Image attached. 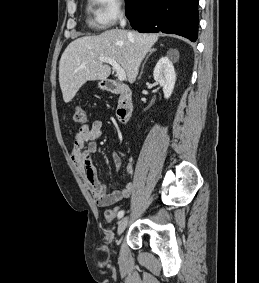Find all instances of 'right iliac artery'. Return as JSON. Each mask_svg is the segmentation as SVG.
Returning a JSON list of instances; mask_svg holds the SVG:
<instances>
[{
  "label": "right iliac artery",
  "mask_w": 259,
  "mask_h": 283,
  "mask_svg": "<svg viewBox=\"0 0 259 283\" xmlns=\"http://www.w3.org/2000/svg\"><path fill=\"white\" fill-rule=\"evenodd\" d=\"M124 214H125V211H124V210L119 211V212H118V218H119V219L122 218V217L124 216Z\"/></svg>",
  "instance_id": "1"
}]
</instances>
